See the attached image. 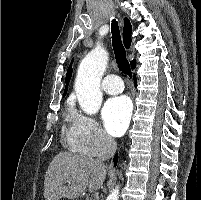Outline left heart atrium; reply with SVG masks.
Here are the masks:
<instances>
[{
    "label": "left heart atrium",
    "mask_w": 201,
    "mask_h": 200,
    "mask_svg": "<svg viewBox=\"0 0 201 200\" xmlns=\"http://www.w3.org/2000/svg\"><path fill=\"white\" fill-rule=\"evenodd\" d=\"M131 112V102L127 97L109 99L102 109V119L107 132L112 136H121L129 125Z\"/></svg>",
    "instance_id": "39dd6f15"
}]
</instances>
